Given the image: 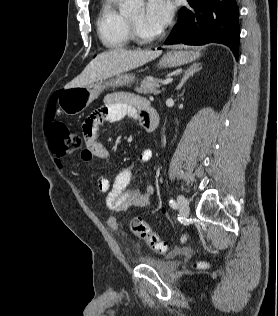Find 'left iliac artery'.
I'll use <instances>...</instances> for the list:
<instances>
[{"label":"left iliac artery","instance_id":"44dca946","mask_svg":"<svg viewBox=\"0 0 278 316\" xmlns=\"http://www.w3.org/2000/svg\"><path fill=\"white\" fill-rule=\"evenodd\" d=\"M169 204H170V206H171L172 208H174V209L177 208V204H176V202H175L173 199H170V200H169Z\"/></svg>","mask_w":278,"mask_h":316}]
</instances>
